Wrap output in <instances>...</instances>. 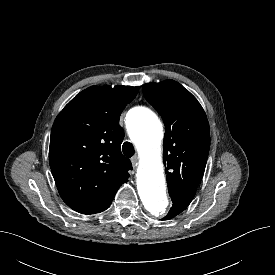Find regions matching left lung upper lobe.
<instances>
[{
	"label": "left lung upper lobe",
	"mask_w": 275,
	"mask_h": 275,
	"mask_svg": "<svg viewBox=\"0 0 275 275\" xmlns=\"http://www.w3.org/2000/svg\"><path fill=\"white\" fill-rule=\"evenodd\" d=\"M143 94L164 120L163 160L169 194L195 195L210 147L209 124L202 106L174 80L144 84Z\"/></svg>",
	"instance_id": "1"
}]
</instances>
